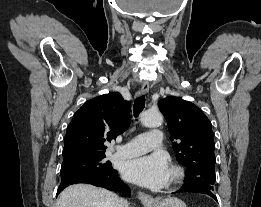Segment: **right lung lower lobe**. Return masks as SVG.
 <instances>
[{
    "instance_id": "98d812e1",
    "label": "right lung lower lobe",
    "mask_w": 261,
    "mask_h": 207,
    "mask_svg": "<svg viewBox=\"0 0 261 207\" xmlns=\"http://www.w3.org/2000/svg\"><path fill=\"white\" fill-rule=\"evenodd\" d=\"M76 183H87L108 190H121L124 197L130 196L129 188L120 180L116 170L112 172L78 173L61 177L57 195L67 186Z\"/></svg>"
}]
</instances>
